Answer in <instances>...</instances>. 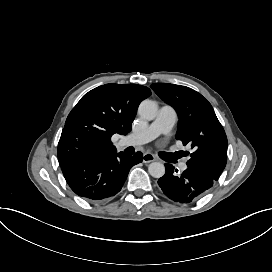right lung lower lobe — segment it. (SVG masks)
Returning a JSON list of instances; mask_svg holds the SVG:
<instances>
[{
    "mask_svg": "<svg viewBox=\"0 0 272 272\" xmlns=\"http://www.w3.org/2000/svg\"><path fill=\"white\" fill-rule=\"evenodd\" d=\"M142 161L137 152L129 156L123 152L95 155L61 166L70 188L89 201L106 200L122 188L129 170Z\"/></svg>",
    "mask_w": 272,
    "mask_h": 272,
    "instance_id": "98d812e1",
    "label": "right lung lower lobe"
}]
</instances>
